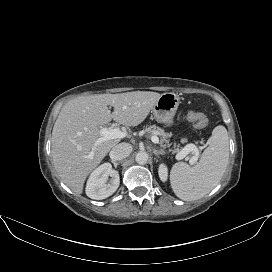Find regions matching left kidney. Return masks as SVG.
Listing matches in <instances>:
<instances>
[{
  "label": "left kidney",
  "mask_w": 272,
  "mask_h": 272,
  "mask_svg": "<svg viewBox=\"0 0 272 272\" xmlns=\"http://www.w3.org/2000/svg\"><path fill=\"white\" fill-rule=\"evenodd\" d=\"M158 173H159L160 179L163 182H165L167 180V178H168V169H167L166 165L160 164L159 165Z\"/></svg>",
  "instance_id": "obj_1"
}]
</instances>
